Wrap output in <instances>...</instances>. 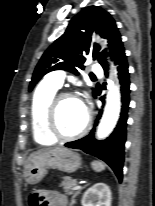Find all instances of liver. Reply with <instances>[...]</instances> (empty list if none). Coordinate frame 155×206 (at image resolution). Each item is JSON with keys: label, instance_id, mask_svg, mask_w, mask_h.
Listing matches in <instances>:
<instances>
[{"label": "liver", "instance_id": "obj_1", "mask_svg": "<svg viewBox=\"0 0 155 206\" xmlns=\"http://www.w3.org/2000/svg\"><path fill=\"white\" fill-rule=\"evenodd\" d=\"M46 150H51V149H50V148H49V149H42V150H40V151H37V152L32 153V154L29 156L27 163H29V161L32 159V157H33L35 154H37L38 152H41V151H46Z\"/></svg>", "mask_w": 155, "mask_h": 206}]
</instances>
